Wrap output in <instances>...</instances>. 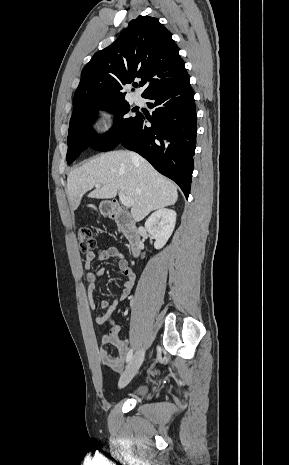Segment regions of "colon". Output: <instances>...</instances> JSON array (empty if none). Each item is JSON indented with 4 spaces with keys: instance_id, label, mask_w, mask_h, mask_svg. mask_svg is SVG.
<instances>
[{
    "instance_id": "obj_1",
    "label": "colon",
    "mask_w": 289,
    "mask_h": 465,
    "mask_svg": "<svg viewBox=\"0 0 289 465\" xmlns=\"http://www.w3.org/2000/svg\"><path fill=\"white\" fill-rule=\"evenodd\" d=\"M79 249L82 252H89L95 249L96 241L92 235V232L87 227H81L77 231Z\"/></svg>"
}]
</instances>
